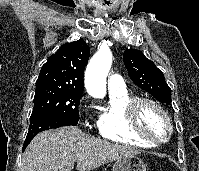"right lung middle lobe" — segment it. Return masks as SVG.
<instances>
[{
  "instance_id": "dd1d6c3e",
  "label": "right lung middle lobe",
  "mask_w": 199,
  "mask_h": 171,
  "mask_svg": "<svg viewBox=\"0 0 199 171\" xmlns=\"http://www.w3.org/2000/svg\"><path fill=\"white\" fill-rule=\"evenodd\" d=\"M82 92L57 86H36L31 117L53 113L79 122L78 106Z\"/></svg>"
}]
</instances>
